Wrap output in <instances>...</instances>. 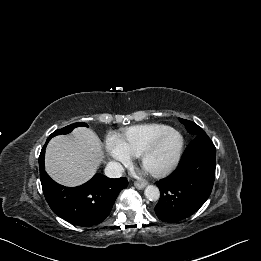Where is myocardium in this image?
Instances as JSON below:
<instances>
[{
  "label": "myocardium",
  "mask_w": 261,
  "mask_h": 261,
  "mask_svg": "<svg viewBox=\"0 0 261 261\" xmlns=\"http://www.w3.org/2000/svg\"><path fill=\"white\" fill-rule=\"evenodd\" d=\"M169 134H174L178 138V143L176 146V149L170 158V160L161 168L155 169V170H148L145 167L147 159L150 157V155L156 150L160 142ZM184 148V139L183 136L178 132L176 129L169 128L162 133H160L158 136H156L147 146L146 148L139 154V162L141 167L146 170L150 175L153 177H164L168 174H170L174 168L177 166L182 152Z\"/></svg>",
  "instance_id": "1"
}]
</instances>
